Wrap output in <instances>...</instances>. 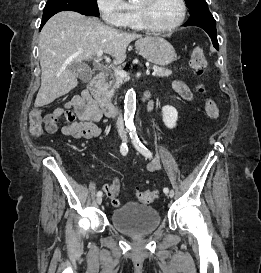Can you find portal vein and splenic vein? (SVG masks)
<instances>
[{
  "instance_id": "portal-vein-and-splenic-vein-1",
  "label": "portal vein and splenic vein",
  "mask_w": 261,
  "mask_h": 273,
  "mask_svg": "<svg viewBox=\"0 0 261 273\" xmlns=\"http://www.w3.org/2000/svg\"><path fill=\"white\" fill-rule=\"evenodd\" d=\"M102 54H103V50H99V51L97 52V58H98V60H101ZM109 68H112V70L114 71V73H115L116 75H118V76H120V77H122V78L127 77V73H126V71H124L123 69H118V68L112 67V66H109ZM156 74H157L156 71H154V72L152 73L153 76H155Z\"/></svg>"
}]
</instances>
